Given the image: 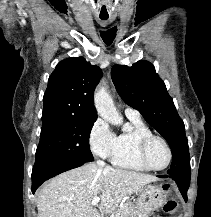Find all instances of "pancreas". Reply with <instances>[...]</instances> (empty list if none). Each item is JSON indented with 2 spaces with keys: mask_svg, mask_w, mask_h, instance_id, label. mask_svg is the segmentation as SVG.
Instances as JSON below:
<instances>
[{
  "mask_svg": "<svg viewBox=\"0 0 211 217\" xmlns=\"http://www.w3.org/2000/svg\"><path fill=\"white\" fill-rule=\"evenodd\" d=\"M111 217H136V206L134 203H126L114 211Z\"/></svg>",
  "mask_w": 211,
  "mask_h": 217,
  "instance_id": "pancreas-1",
  "label": "pancreas"
}]
</instances>
